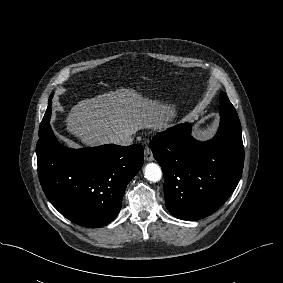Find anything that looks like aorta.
<instances>
[{
    "mask_svg": "<svg viewBox=\"0 0 283 283\" xmlns=\"http://www.w3.org/2000/svg\"><path fill=\"white\" fill-rule=\"evenodd\" d=\"M145 178L151 182H158L162 177V171L158 164L148 163L144 169Z\"/></svg>",
    "mask_w": 283,
    "mask_h": 283,
    "instance_id": "obj_1",
    "label": "aorta"
}]
</instances>
